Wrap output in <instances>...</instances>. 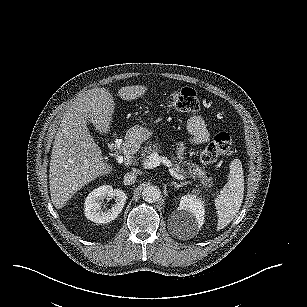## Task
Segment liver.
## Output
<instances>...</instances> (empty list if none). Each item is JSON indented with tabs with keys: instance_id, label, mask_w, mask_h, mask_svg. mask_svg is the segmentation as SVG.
I'll return each instance as SVG.
<instances>
[{
	"instance_id": "1",
	"label": "liver",
	"mask_w": 307,
	"mask_h": 307,
	"mask_svg": "<svg viewBox=\"0 0 307 307\" xmlns=\"http://www.w3.org/2000/svg\"><path fill=\"white\" fill-rule=\"evenodd\" d=\"M146 86H125L118 90L122 100L142 97ZM115 103L105 88H94L77 97L65 113L54 137L49 189L52 204L63 208L83 186L97 177L108 175L112 166L106 163L102 151L91 136L87 120L101 134L110 131Z\"/></svg>"
}]
</instances>
